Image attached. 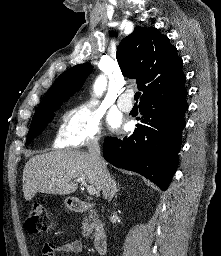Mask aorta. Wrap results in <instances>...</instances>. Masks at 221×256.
I'll return each instance as SVG.
<instances>
[{
  "label": "aorta",
  "mask_w": 221,
  "mask_h": 256,
  "mask_svg": "<svg viewBox=\"0 0 221 256\" xmlns=\"http://www.w3.org/2000/svg\"><path fill=\"white\" fill-rule=\"evenodd\" d=\"M106 85H107V82L105 77L103 75L98 77L94 84L95 93L97 95H101L105 91Z\"/></svg>",
  "instance_id": "762f6f07"
}]
</instances>
